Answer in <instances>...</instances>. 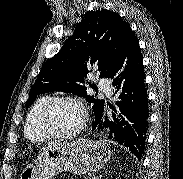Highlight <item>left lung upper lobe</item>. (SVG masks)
<instances>
[{"label": "left lung upper lobe", "mask_w": 183, "mask_h": 179, "mask_svg": "<svg viewBox=\"0 0 183 179\" xmlns=\"http://www.w3.org/2000/svg\"><path fill=\"white\" fill-rule=\"evenodd\" d=\"M129 30L128 23L116 12L105 9L89 11L61 50L43 64L25 106H30L39 94L71 92L92 103L96 117L104 109V100L88 96L82 84L92 66H98L101 78L110 77Z\"/></svg>", "instance_id": "left-lung-upper-lobe-1"}]
</instances>
